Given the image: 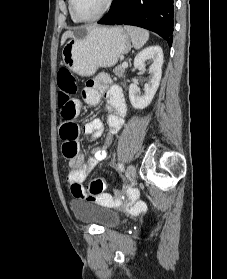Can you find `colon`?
<instances>
[{
  "instance_id": "5ec220e1",
  "label": "colon",
  "mask_w": 227,
  "mask_h": 279,
  "mask_svg": "<svg viewBox=\"0 0 227 279\" xmlns=\"http://www.w3.org/2000/svg\"><path fill=\"white\" fill-rule=\"evenodd\" d=\"M58 83L61 87L60 109L61 116L66 121L61 129V136L63 138L62 153L66 159H72L77 154L76 137L78 134V127L73 124H68L69 121L75 118L77 113L76 93L77 84L73 74L67 69H61L57 74ZM105 178H94L88 184L87 189L81 190L76 184L72 186V193L74 196L89 202L98 204H121L122 201L117 196L105 192L106 189ZM111 197V200L109 199Z\"/></svg>"
}]
</instances>
